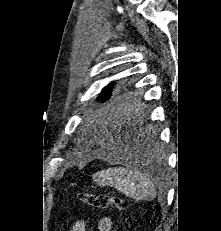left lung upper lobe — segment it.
<instances>
[{
    "label": "left lung upper lobe",
    "instance_id": "1",
    "mask_svg": "<svg viewBox=\"0 0 221 231\" xmlns=\"http://www.w3.org/2000/svg\"><path fill=\"white\" fill-rule=\"evenodd\" d=\"M111 84H109L106 89L100 94V99L105 100L106 98L110 97V88ZM129 98V95L126 91L121 93H117L110 102V105L115 109H119Z\"/></svg>",
    "mask_w": 221,
    "mask_h": 231
}]
</instances>
